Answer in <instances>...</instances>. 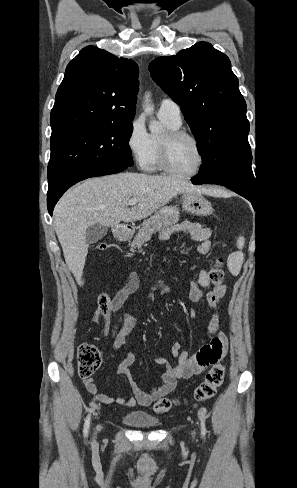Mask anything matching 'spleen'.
<instances>
[{"instance_id":"spleen-1","label":"spleen","mask_w":297,"mask_h":488,"mask_svg":"<svg viewBox=\"0 0 297 488\" xmlns=\"http://www.w3.org/2000/svg\"><path fill=\"white\" fill-rule=\"evenodd\" d=\"M245 240L243 237H239L237 240V247L240 251L234 252L229 255L227 259V265L232 275L237 276L240 273L243 264L242 248L244 247Z\"/></svg>"}]
</instances>
